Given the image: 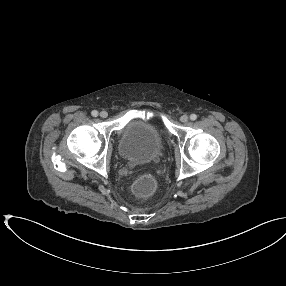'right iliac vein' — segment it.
Instances as JSON below:
<instances>
[{"label":"right iliac vein","instance_id":"right-iliac-vein-1","mask_svg":"<svg viewBox=\"0 0 286 286\" xmlns=\"http://www.w3.org/2000/svg\"><path fill=\"white\" fill-rule=\"evenodd\" d=\"M99 115L102 118H106L108 116V113L106 111H101Z\"/></svg>","mask_w":286,"mask_h":286}]
</instances>
